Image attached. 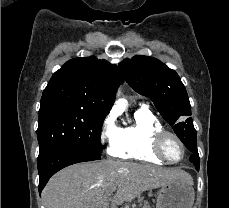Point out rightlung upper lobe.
I'll list each match as a JSON object with an SVG mask.
<instances>
[{
  "instance_id": "1",
  "label": "right lung upper lobe",
  "mask_w": 229,
  "mask_h": 208,
  "mask_svg": "<svg viewBox=\"0 0 229 208\" xmlns=\"http://www.w3.org/2000/svg\"><path fill=\"white\" fill-rule=\"evenodd\" d=\"M121 83L123 76L117 66L95 56L75 58L53 74L43 91L41 104L73 103L105 118Z\"/></svg>"
}]
</instances>
